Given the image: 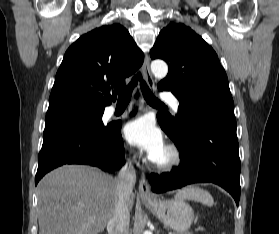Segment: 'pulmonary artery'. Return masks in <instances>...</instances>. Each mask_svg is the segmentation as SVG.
Segmentation results:
<instances>
[{
    "mask_svg": "<svg viewBox=\"0 0 279 234\" xmlns=\"http://www.w3.org/2000/svg\"><path fill=\"white\" fill-rule=\"evenodd\" d=\"M162 98L169 103V105L171 106V108L173 110L177 111L179 109L180 102H179V100L174 95L168 94V93H163L162 94ZM107 112L109 114H112L114 112V107H109L107 109Z\"/></svg>",
    "mask_w": 279,
    "mask_h": 234,
    "instance_id": "e3ab8cb5",
    "label": "pulmonary artery"
}]
</instances>
